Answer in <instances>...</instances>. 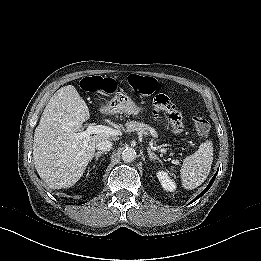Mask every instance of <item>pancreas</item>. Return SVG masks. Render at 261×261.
<instances>
[{
	"label": "pancreas",
	"mask_w": 261,
	"mask_h": 261,
	"mask_svg": "<svg viewBox=\"0 0 261 261\" xmlns=\"http://www.w3.org/2000/svg\"><path fill=\"white\" fill-rule=\"evenodd\" d=\"M126 130L128 132H140V133H147L155 137L157 135V132L155 131L154 128L151 126L144 124L142 122H137V121H127L125 124Z\"/></svg>",
	"instance_id": "pancreas-1"
}]
</instances>
